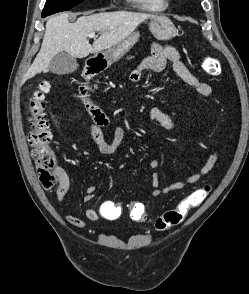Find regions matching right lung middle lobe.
<instances>
[{
	"instance_id": "obj_1",
	"label": "right lung middle lobe",
	"mask_w": 249,
	"mask_h": 294,
	"mask_svg": "<svg viewBox=\"0 0 249 294\" xmlns=\"http://www.w3.org/2000/svg\"><path fill=\"white\" fill-rule=\"evenodd\" d=\"M82 1L84 0H47L42 11V17H46L60 11H68Z\"/></svg>"
}]
</instances>
